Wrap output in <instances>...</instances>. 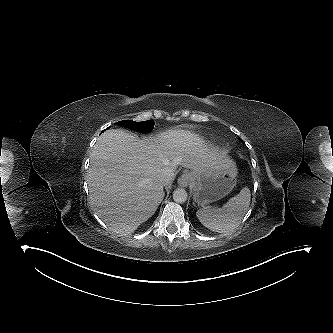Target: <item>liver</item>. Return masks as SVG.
<instances>
[{"label":"liver","mask_w":333,"mask_h":333,"mask_svg":"<svg viewBox=\"0 0 333 333\" xmlns=\"http://www.w3.org/2000/svg\"><path fill=\"white\" fill-rule=\"evenodd\" d=\"M179 165L203 172L233 163L224 153L208 149L190 131L167 130L140 139L121 129L108 130L97 139L90 155L91 207L112 231L131 234L163 200L161 171L175 172Z\"/></svg>","instance_id":"6515ba94"}]
</instances>
